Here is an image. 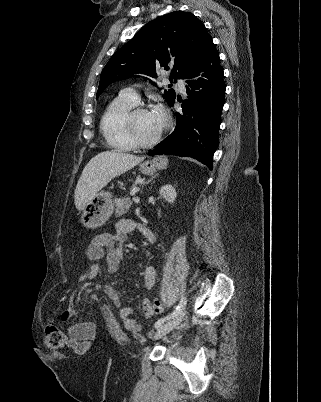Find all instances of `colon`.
<instances>
[{"label": "colon", "mask_w": 321, "mask_h": 402, "mask_svg": "<svg viewBox=\"0 0 321 402\" xmlns=\"http://www.w3.org/2000/svg\"><path fill=\"white\" fill-rule=\"evenodd\" d=\"M152 310L156 313H162L164 311V304L160 300H155ZM42 343L47 350H58L65 344V335L58 326L48 324L43 330Z\"/></svg>", "instance_id": "colon-1"}]
</instances>
